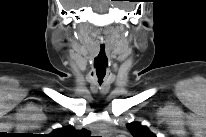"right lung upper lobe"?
I'll return each instance as SVG.
<instances>
[{
    "label": "right lung upper lobe",
    "mask_w": 206,
    "mask_h": 137,
    "mask_svg": "<svg viewBox=\"0 0 206 137\" xmlns=\"http://www.w3.org/2000/svg\"><path fill=\"white\" fill-rule=\"evenodd\" d=\"M77 131L72 127H63L55 129L51 135L55 137H71L72 134H75Z\"/></svg>",
    "instance_id": "obj_1"
}]
</instances>
